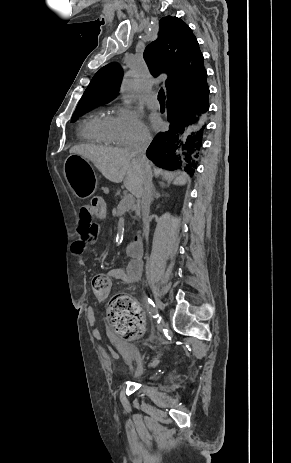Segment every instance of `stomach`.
Returning <instances> with one entry per match:
<instances>
[{
    "instance_id": "stomach-1",
    "label": "stomach",
    "mask_w": 291,
    "mask_h": 463,
    "mask_svg": "<svg viewBox=\"0 0 291 463\" xmlns=\"http://www.w3.org/2000/svg\"><path fill=\"white\" fill-rule=\"evenodd\" d=\"M64 175L71 190L80 199L90 197L96 187L89 161L77 154H70L64 163Z\"/></svg>"
}]
</instances>
